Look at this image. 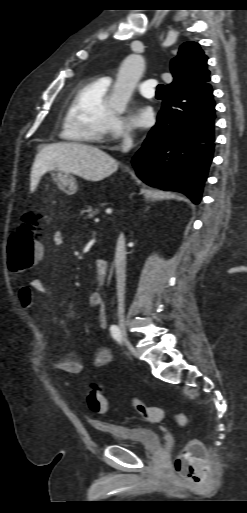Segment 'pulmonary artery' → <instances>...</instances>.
<instances>
[{
    "instance_id": "1",
    "label": "pulmonary artery",
    "mask_w": 247,
    "mask_h": 513,
    "mask_svg": "<svg viewBox=\"0 0 247 513\" xmlns=\"http://www.w3.org/2000/svg\"><path fill=\"white\" fill-rule=\"evenodd\" d=\"M105 81H107L108 83H110V78L109 77H105L103 78ZM157 85V81L154 80V79H148V80H145L143 82H141L139 85H138V90L139 92L146 98H152L154 97L155 95V86Z\"/></svg>"
}]
</instances>
